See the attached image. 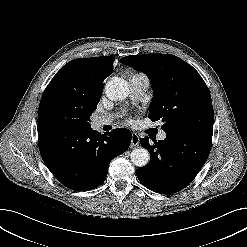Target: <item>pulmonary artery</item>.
Here are the masks:
<instances>
[{"instance_id":"obj_1","label":"pulmonary artery","mask_w":247,"mask_h":247,"mask_svg":"<svg viewBox=\"0 0 247 247\" xmlns=\"http://www.w3.org/2000/svg\"><path fill=\"white\" fill-rule=\"evenodd\" d=\"M130 86V99L133 103H137L143 99L145 93L149 87V79L144 74H135L129 79ZM113 120V115H103L96 116L93 119V125L96 128H100L103 125L110 123ZM160 140H164L166 138V134L161 132L158 135Z\"/></svg>"}]
</instances>
